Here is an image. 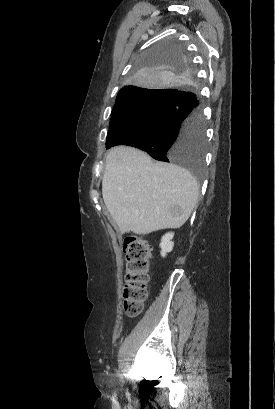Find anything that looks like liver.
<instances>
[{"label": "liver", "instance_id": "6515ba94", "mask_svg": "<svg viewBox=\"0 0 275 409\" xmlns=\"http://www.w3.org/2000/svg\"><path fill=\"white\" fill-rule=\"evenodd\" d=\"M198 192L189 170L172 162H153L138 148L114 146L106 156L103 200L121 233L179 229L189 219ZM174 207L181 209L180 217Z\"/></svg>", "mask_w": 275, "mask_h": 409}]
</instances>
